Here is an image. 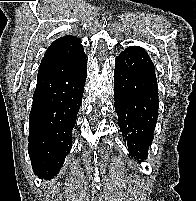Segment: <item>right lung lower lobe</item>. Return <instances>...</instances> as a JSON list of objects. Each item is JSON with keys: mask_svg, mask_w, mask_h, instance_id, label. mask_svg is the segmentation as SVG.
Masks as SVG:
<instances>
[{"mask_svg": "<svg viewBox=\"0 0 196 201\" xmlns=\"http://www.w3.org/2000/svg\"><path fill=\"white\" fill-rule=\"evenodd\" d=\"M86 74V58L40 64L29 115L28 152L34 173L41 178L57 175L70 151Z\"/></svg>", "mask_w": 196, "mask_h": 201, "instance_id": "98d812e1", "label": "right lung lower lobe"}]
</instances>
